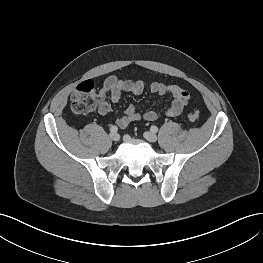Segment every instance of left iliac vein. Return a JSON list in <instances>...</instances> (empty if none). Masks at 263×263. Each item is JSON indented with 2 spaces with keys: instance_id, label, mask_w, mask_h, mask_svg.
Instances as JSON below:
<instances>
[{
  "instance_id": "obj_1",
  "label": "left iliac vein",
  "mask_w": 263,
  "mask_h": 263,
  "mask_svg": "<svg viewBox=\"0 0 263 263\" xmlns=\"http://www.w3.org/2000/svg\"><path fill=\"white\" fill-rule=\"evenodd\" d=\"M144 138L149 142H155L157 141V136L153 132H145Z\"/></svg>"
}]
</instances>
